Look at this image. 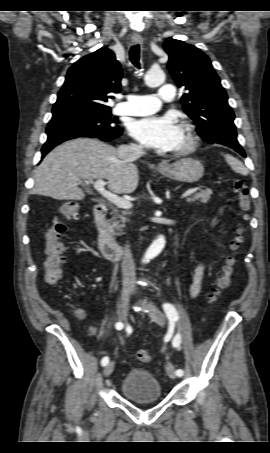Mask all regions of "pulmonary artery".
<instances>
[{
    "instance_id": "e3ab8cb5",
    "label": "pulmonary artery",
    "mask_w": 270,
    "mask_h": 453,
    "mask_svg": "<svg viewBox=\"0 0 270 453\" xmlns=\"http://www.w3.org/2000/svg\"><path fill=\"white\" fill-rule=\"evenodd\" d=\"M175 95L172 85H163L157 95H128L124 103L116 107V112L122 115H147L156 112L161 101H171Z\"/></svg>"
}]
</instances>
